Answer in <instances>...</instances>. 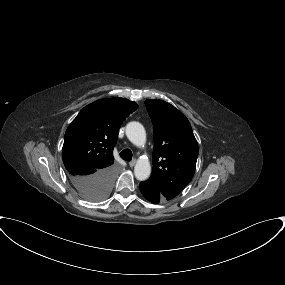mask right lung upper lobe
<instances>
[{
  "label": "right lung upper lobe",
  "instance_id": "1",
  "mask_svg": "<svg viewBox=\"0 0 285 285\" xmlns=\"http://www.w3.org/2000/svg\"><path fill=\"white\" fill-rule=\"evenodd\" d=\"M135 102L108 98L84 107L65 132L62 159L70 175L91 174L112 166L118 131Z\"/></svg>",
  "mask_w": 285,
  "mask_h": 285
}]
</instances>
